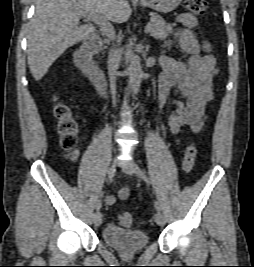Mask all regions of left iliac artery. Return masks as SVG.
Instances as JSON below:
<instances>
[{
  "instance_id": "obj_1",
  "label": "left iliac artery",
  "mask_w": 254,
  "mask_h": 267,
  "mask_svg": "<svg viewBox=\"0 0 254 267\" xmlns=\"http://www.w3.org/2000/svg\"><path fill=\"white\" fill-rule=\"evenodd\" d=\"M135 174L137 175V177L143 179L147 184H150V179L138 165H135ZM155 208L157 209V211L161 210L160 204L157 201H155Z\"/></svg>"
}]
</instances>
